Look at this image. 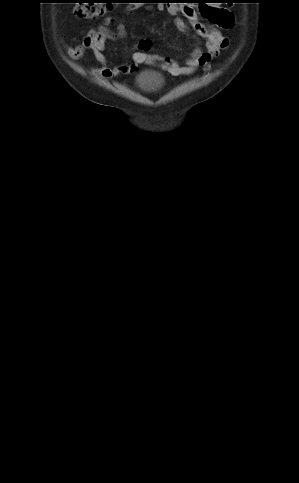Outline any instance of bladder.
I'll return each instance as SVG.
<instances>
[{"label":"bladder","mask_w":299,"mask_h":483,"mask_svg":"<svg viewBox=\"0 0 299 483\" xmlns=\"http://www.w3.org/2000/svg\"><path fill=\"white\" fill-rule=\"evenodd\" d=\"M138 83L139 86L144 89H151L158 87L161 84V81L154 74L146 73L139 77Z\"/></svg>","instance_id":"obj_1"}]
</instances>
